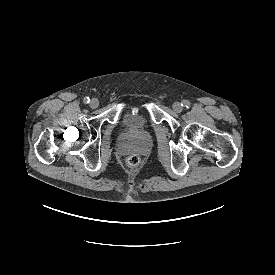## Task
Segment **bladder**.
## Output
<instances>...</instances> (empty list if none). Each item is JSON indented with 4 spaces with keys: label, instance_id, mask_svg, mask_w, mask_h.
I'll list each match as a JSON object with an SVG mask.
<instances>
[{
    "label": "bladder",
    "instance_id": "obj_1",
    "mask_svg": "<svg viewBox=\"0 0 275 275\" xmlns=\"http://www.w3.org/2000/svg\"><path fill=\"white\" fill-rule=\"evenodd\" d=\"M119 121L127 129H145L147 127V120L143 111L134 107L123 108Z\"/></svg>",
    "mask_w": 275,
    "mask_h": 275
}]
</instances>
